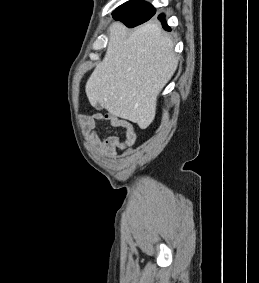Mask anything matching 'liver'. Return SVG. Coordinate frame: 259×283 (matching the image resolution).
Wrapping results in <instances>:
<instances>
[{"instance_id":"obj_1","label":"liver","mask_w":259,"mask_h":283,"mask_svg":"<svg viewBox=\"0 0 259 283\" xmlns=\"http://www.w3.org/2000/svg\"><path fill=\"white\" fill-rule=\"evenodd\" d=\"M178 66L174 43L160 26L148 22L129 31L115 22L109 43L86 83L92 106L99 103L110 114L146 129L154 120L157 96Z\"/></svg>"}]
</instances>
